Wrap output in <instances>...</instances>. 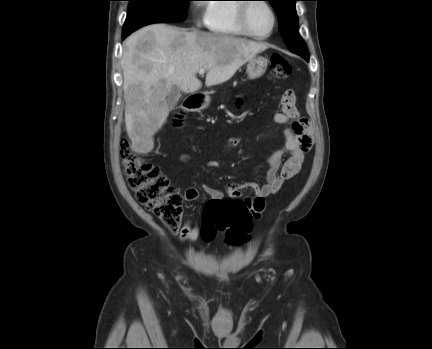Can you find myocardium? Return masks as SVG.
<instances>
[{"label":"myocardium","mask_w":432,"mask_h":349,"mask_svg":"<svg viewBox=\"0 0 432 349\" xmlns=\"http://www.w3.org/2000/svg\"><path fill=\"white\" fill-rule=\"evenodd\" d=\"M246 1H249V2H244L243 4H240L238 6L237 22H238L240 29L245 33V35H247L253 39H257V40L268 39L273 34V32L275 31V29L277 27V14H276V11H275L273 5L267 0H257L259 2H256L254 0H246ZM255 3L264 4L269 9V11L272 15V20H273L272 27H271L270 31L265 35L255 34L250 29L249 24H248V12H249L250 7Z\"/></svg>","instance_id":"f54148a6"}]
</instances>
